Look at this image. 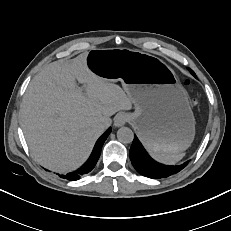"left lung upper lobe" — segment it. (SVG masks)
<instances>
[{
  "mask_svg": "<svg viewBox=\"0 0 231 231\" xmlns=\"http://www.w3.org/2000/svg\"><path fill=\"white\" fill-rule=\"evenodd\" d=\"M190 71H191V74H192L194 77H196L195 73H194L192 70H190Z\"/></svg>",
  "mask_w": 231,
  "mask_h": 231,
  "instance_id": "left-lung-upper-lobe-1",
  "label": "left lung upper lobe"
}]
</instances>
